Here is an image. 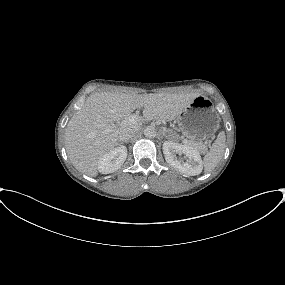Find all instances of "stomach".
Segmentation results:
<instances>
[{"mask_svg": "<svg viewBox=\"0 0 285 285\" xmlns=\"http://www.w3.org/2000/svg\"><path fill=\"white\" fill-rule=\"evenodd\" d=\"M179 130L193 140H205L219 128L220 118L213 102L202 95L196 97L177 117Z\"/></svg>", "mask_w": 285, "mask_h": 285, "instance_id": "stomach-1", "label": "stomach"}]
</instances>
